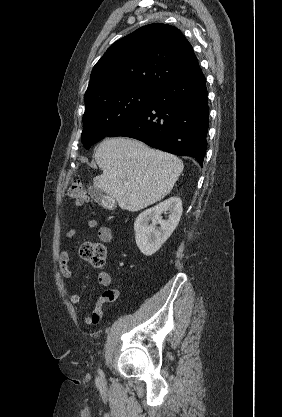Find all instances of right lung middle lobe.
Returning <instances> with one entry per match:
<instances>
[{
  "label": "right lung middle lobe",
  "instance_id": "1",
  "mask_svg": "<svg viewBox=\"0 0 282 417\" xmlns=\"http://www.w3.org/2000/svg\"><path fill=\"white\" fill-rule=\"evenodd\" d=\"M156 90L127 88L109 91L85 100L82 143L86 149L105 138L143 109Z\"/></svg>",
  "mask_w": 282,
  "mask_h": 417
}]
</instances>
